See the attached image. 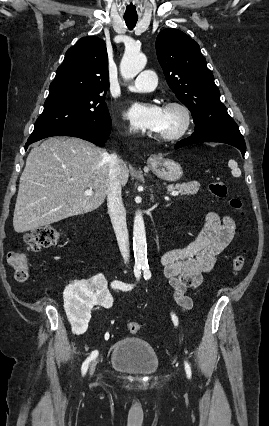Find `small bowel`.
<instances>
[{"instance_id":"1","label":"small bowel","mask_w":269,"mask_h":426,"mask_svg":"<svg viewBox=\"0 0 269 426\" xmlns=\"http://www.w3.org/2000/svg\"><path fill=\"white\" fill-rule=\"evenodd\" d=\"M239 233V228L231 215L208 213L191 243L162 254L164 275L173 288L174 301L182 311H188L193 306L186 292L200 286L203 275L214 267L219 255L239 236Z\"/></svg>"}]
</instances>
